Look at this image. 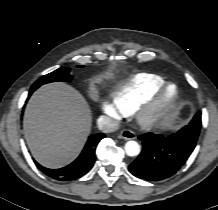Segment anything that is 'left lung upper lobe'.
<instances>
[{
  "label": "left lung upper lobe",
  "instance_id": "obj_1",
  "mask_svg": "<svg viewBox=\"0 0 218 210\" xmlns=\"http://www.w3.org/2000/svg\"><path fill=\"white\" fill-rule=\"evenodd\" d=\"M201 127V112L199 111L188 126L183 128L184 132L190 135L198 136Z\"/></svg>",
  "mask_w": 218,
  "mask_h": 210
}]
</instances>
